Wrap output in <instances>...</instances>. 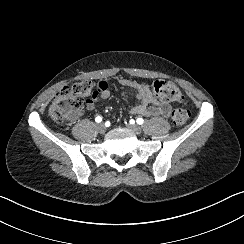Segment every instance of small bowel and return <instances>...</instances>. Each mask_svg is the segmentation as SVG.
I'll return each instance as SVG.
<instances>
[{
	"mask_svg": "<svg viewBox=\"0 0 244 244\" xmlns=\"http://www.w3.org/2000/svg\"><path fill=\"white\" fill-rule=\"evenodd\" d=\"M119 82L124 86L131 87L139 101L137 105L129 107V111L131 113L145 117H168L171 114V106L167 102L158 99L147 85L123 77L119 79ZM97 96L101 100H107L111 97V87L107 82L101 81L98 84ZM95 109V101L90 100L86 103L83 110L76 115L79 116L82 114V112H90L94 111Z\"/></svg>",
	"mask_w": 244,
	"mask_h": 244,
	"instance_id": "c3829d8e",
	"label": "small bowel"
}]
</instances>
